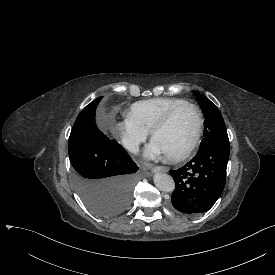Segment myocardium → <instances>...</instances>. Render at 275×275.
<instances>
[{
	"label": "myocardium",
	"mask_w": 275,
	"mask_h": 275,
	"mask_svg": "<svg viewBox=\"0 0 275 275\" xmlns=\"http://www.w3.org/2000/svg\"><path fill=\"white\" fill-rule=\"evenodd\" d=\"M185 107L191 108L194 112V115H195V131H194V134H193L192 138L190 139V141L187 143V145L185 147H183L182 149H180L179 151H177L174 154L165 155L166 158L170 161H178V160H181V159L185 158L186 156H188L193 151V149L197 145V143L200 139L201 133H202V124H203L202 117H201V114H200V111H199L198 107L196 105H194L193 103H190V102H185V103L176 105L171 110H169L165 114V116L158 123H156L154 125V127L152 128V130L150 131V137H151V140L153 141L154 136L158 132L166 129L169 126V124L171 123L174 115L179 110H181Z\"/></svg>",
	"instance_id": "obj_1"
}]
</instances>
